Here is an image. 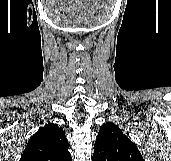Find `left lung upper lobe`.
I'll use <instances>...</instances> for the list:
<instances>
[{
	"label": "left lung upper lobe",
	"instance_id": "left-lung-upper-lobe-1",
	"mask_svg": "<svg viewBox=\"0 0 171 161\" xmlns=\"http://www.w3.org/2000/svg\"><path fill=\"white\" fill-rule=\"evenodd\" d=\"M92 161H144L136 145L112 122L103 124Z\"/></svg>",
	"mask_w": 171,
	"mask_h": 161
}]
</instances>
